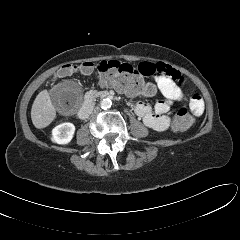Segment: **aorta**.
<instances>
[{"instance_id": "obj_1", "label": "aorta", "mask_w": 240, "mask_h": 240, "mask_svg": "<svg viewBox=\"0 0 240 240\" xmlns=\"http://www.w3.org/2000/svg\"><path fill=\"white\" fill-rule=\"evenodd\" d=\"M111 105H112V101L109 98H105L100 101V107L102 109H108L111 107Z\"/></svg>"}]
</instances>
